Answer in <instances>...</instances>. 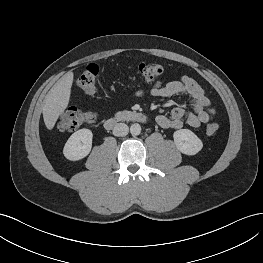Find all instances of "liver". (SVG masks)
I'll list each match as a JSON object with an SVG mask.
<instances>
[{"instance_id":"obj_1","label":"liver","mask_w":263,"mask_h":263,"mask_svg":"<svg viewBox=\"0 0 263 263\" xmlns=\"http://www.w3.org/2000/svg\"><path fill=\"white\" fill-rule=\"evenodd\" d=\"M73 72H67L50 89L43 102V119L47 129L52 130L59 116L69 104Z\"/></svg>"}]
</instances>
